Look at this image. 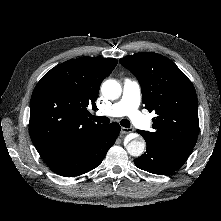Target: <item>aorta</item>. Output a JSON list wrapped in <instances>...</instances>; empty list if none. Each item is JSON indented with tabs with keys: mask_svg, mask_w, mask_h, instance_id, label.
I'll list each match as a JSON object with an SVG mask.
<instances>
[{
	"mask_svg": "<svg viewBox=\"0 0 221 221\" xmlns=\"http://www.w3.org/2000/svg\"><path fill=\"white\" fill-rule=\"evenodd\" d=\"M102 95L110 100H116L121 96V85L113 79L106 80L101 86ZM145 141L143 138H135L126 145L127 152L134 157H139L145 150Z\"/></svg>",
	"mask_w": 221,
	"mask_h": 221,
	"instance_id": "obj_1",
	"label": "aorta"
}]
</instances>
